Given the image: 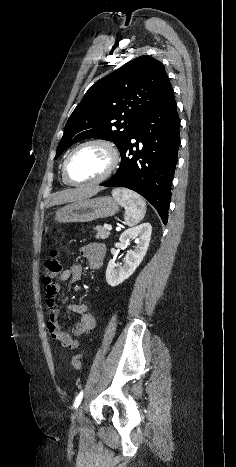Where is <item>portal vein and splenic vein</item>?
Returning a JSON list of instances; mask_svg holds the SVG:
<instances>
[{"label":"portal vein and splenic vein","mask_w":236,"mask_h":467,"mask_svg":"<svg viewBox=\"0 0 236 467\" xmlns=\"http://www.w3.org/2000/svg\"><path fill=\"white\" fill-rule=\"evenodd\" d=\"M106 229H107L108 231H111V230H112V226H111V225H107V226H106Z\"/></svg>","instance_id":"1"}]
</instances>
